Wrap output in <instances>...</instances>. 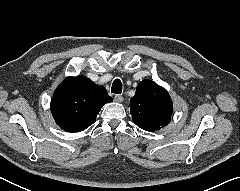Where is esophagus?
<instances>
[{
  "instance_id": "1",
  "label": "esophagus",
  "mask_w": 240,
  "mask_h": 191,
  "mask_svg": "<svg viewBox=\"0 0 240 191\" xmlns=\"http://www.w3.org/2000/svg\"><path fill=\"white\" fill-rule=\"evenodd\" d=\"M114 101L117 103H121L123 101V97L121 95H115Z\"/></svg>"
}]
</instances>
